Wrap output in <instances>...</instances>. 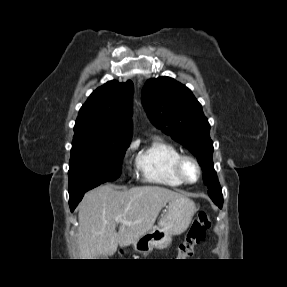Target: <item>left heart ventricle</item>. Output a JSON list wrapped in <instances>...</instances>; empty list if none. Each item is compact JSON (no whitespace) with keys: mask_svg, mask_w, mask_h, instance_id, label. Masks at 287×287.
I'll return each mask as SVG.
<instances>
[{"mask_svg":"<svg viewBox=\"0 0 287 287\" xmlns=\"http://www.w3.org/2000/svg\"><path fill=\"white\" fill-rule=\"evenodd\" d=\"M184 174L189 181H194L197 178L198 172L194 164L187 162L184 166Z\"/></svg>","mask_w":287,"mask_h":287,"instance_id":"left-heart-ventricle-1","label":"left heart ventricle"}]
</instances>
